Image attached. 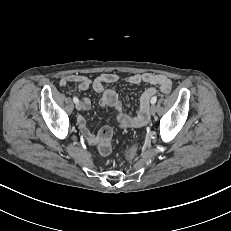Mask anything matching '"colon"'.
I'll list each match as a JSON object with an SVG mask.
<instances>
[{
	"instance_id": "obj_1",
	"label": "colon",
	"mask_w": 231,
	"mask_h": 231,
	"mask_svg": "<svg viewBox=\"0 0 231 231\" xmlns=\"http://www.w3.org/2000/svg\"><path fill=\"white\" fill-rule=\"evenodd\" d=\"M100 142L98 150L101 154L106 155L111 151L112 129L110 127H103L99 132ZM137 147L133 146L124 151V156L131 159L135 156Z\"/></svg>"
}]
</instances>
